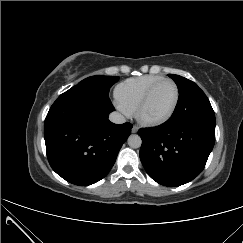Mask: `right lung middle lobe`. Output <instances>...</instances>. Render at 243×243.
Returning a JSON list of instances; mask_svg holds the SVG:
<instances>
[{"instance_id": "obj_1", "label": "right lung middle lobe", "mask_w": 243, "mask_h": 243, "mask_svg": "<svg viewBox=\"0 0 243 243\" xmlns=\"http://www.w3.org/2000/svg\"><path fill=\"white\" fill-rule=\"evenodd\" d=\"M118 79V76L96 75L82 80L76 87L90 88L104 95H109L110 87L117 82Z\"/></svg>"}]
</instances>
